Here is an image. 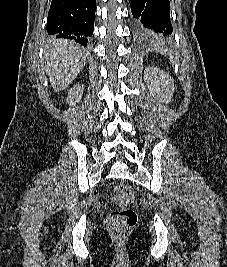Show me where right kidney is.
<instances>
[{
    "instance_id": "1",
    "label": "right kidney",
    "mask_w": 227,
    "mask_h": 267,
    "mask_svg": "<svg viewBox=\"0 0 227 267\" xmlns=\"http://www.w3.org/2000/svg\"><path fill=\"white\" fill-rule=\"evenodd\" d=\"M83 91H84L83 84H77L73 86L68 92L67 102L70 105H75L82 98Z\"/></svg>"
}]
</instances>
